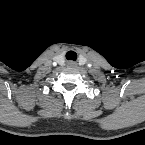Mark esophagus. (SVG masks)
I'll return each mask as SVG.
<instances>
[{
    "instance_id": "obj_1",
    "label": "esophagus",
    "mask_w": 145,
    "mask_h": 145,
    "mask_svg": "<svg viewBox=\"0 0 145 145\" xmlns=\"http://www.w3.org/2000/svg\"><path fill=\"white\" fill-rule=\"evenodd\" d=\"M67 66L70 67V68H74V67L77 66V63L72 61V60H70V61L67 62Z\"/></svg>"
}]
</instances>
